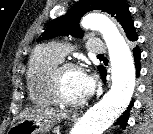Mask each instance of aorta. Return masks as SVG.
Returning <instances> with one entry per match:
<instances>
[{
  "mask_svg": "<svg viewBox=\"0 0 153 134\" xmlns=\"http://www.w3.org/2000/svg\"><path fill=\"white\" fill-rule=\"evenodd\" d=\"M85 29L99 31L108 48L112 86L73 128V134H103L128 106L135 88L132 53L117 27L106 16L88 14L82 20Z\"/></svg>",
  "mask_w": 153,
  "mask_h": 134,
  "instance_id": "obj_1",
  "label": "aorta"
}]
</instances>
